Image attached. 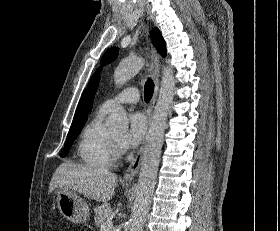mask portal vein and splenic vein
<instances>
[{"mask_svg": "<svg viewBox=\"0 0 280 231\" xmlns=\"http://www.w3.org/2000/svg\"><path fill=\"white\" fill-rule=\"evenodd\" d=\"M111 227H113V221H111V219H107V221H105V223H101L102 231H109V229H111Z\"/></svg>", "mask_w": 280, "mask_h": 231, "instance_id": "1", "label": "portal vein and splenic vein"}]
</instances>
